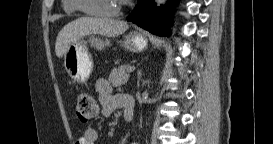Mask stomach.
<instances>
[{
  "label": "stomach",
  "mask_w": 273,
  "mask_h": 144,
  "mask_svg": "<svg viewBox=\"0 0 273 144\" xmlns=\"http://www.w3.org/2000/svg\"><path fill=\"white\" fill-rule=\"evenodd\" d=\"M88 43L91 47L101 50L110 42L92 36L88 40L80 38L69 46L64 54V67L69 77L81 84L87 82L93 70V59ZM123 46L133 52H142L147 47V39L138 32H132L125 37Z\"/></svg>",
  "instance_id": "stomach-1"
}]
</instances>
